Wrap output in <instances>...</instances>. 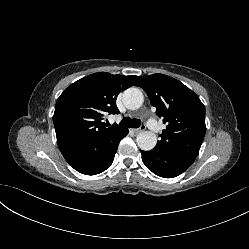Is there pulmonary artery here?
I'll return each instance as SVG.
<instances>
[{"label": "pulmonary artery", "mask_w": 249, "mask_h": 249, "mask_svg": "<svg viewBox=\"0 0 249 249\" xmlns=\"http://www.w3.org/2000/svg\"><path fill=\"white\" fill-rule=\"evenodd\" d=\"M148 126L152 131L154 132L158 131V126L156 124L149 122Z\"/></svg>", "instance_id": "obj_1"}]
</instances>
